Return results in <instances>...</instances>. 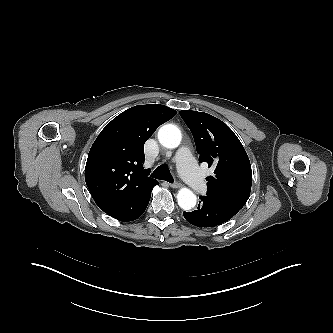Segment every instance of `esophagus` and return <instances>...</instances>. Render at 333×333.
Segmentation results:
<instances>
[{
  "label": "esophagus",
  "instance_id": "esophagus-1",
  "mask_svg": "<svg viewBox=\"0 0 333 333\" xmlns=\"http://www.w3.org/2000/svg\"><path fill=\"white\" fill-rule=\"evenodd\" d=\"M170 187L172 188H180L182 185L178 182H175V183H169Z\"/></svg>",
  "mask_w": 333,
  "mask_h": 333
}]
</instances>
